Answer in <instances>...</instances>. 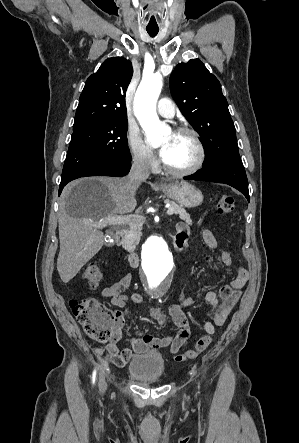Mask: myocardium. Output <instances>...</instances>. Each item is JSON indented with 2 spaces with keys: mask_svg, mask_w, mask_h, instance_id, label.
I'll return each instance as SVG.
<instances>
[{
  "mask_svg": "<svg viewBox=\"0 0 299 443\" xmlns=\"http://www.w3.org/2000/svg\"><path fill=\"white\" fill-rule=\"evenodd\" d=\"M176 133L177 134H187L192 138V140L194 141L195 147H196V152H197L196 158L190 166L183 168V169L171 168L168 165H166L163 160H161V166L166 173H168L172 176L183 177V176L191 175V174L197 172L204 164L206 152H205L203 142L200 138L199 133L193 128L181 127L176 130Z\"/></svg>",
  "mask_w": 299,
  "mask_h": 443,
  "instance_id": "f54148a6",
  "label": "myocardium"
}]
</instances>
